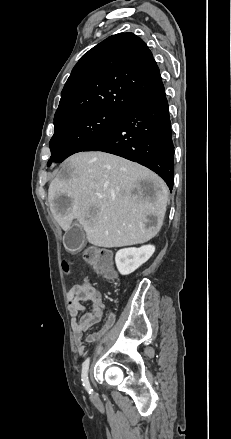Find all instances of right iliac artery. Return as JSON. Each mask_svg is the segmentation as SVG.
Here are the masks:
<instances>
[{
	"instance_id": "82829eb1",
	"label": "right iliac artery",
	"mask_w": 231,
	"mask_h": 439,
	"mask_svg": "<svg viewBox=\"0 0 231 439\" xmlns=\"http://www.w3.org/2000/svg\"><path fill=\"white\" fill-rule=\"evenodd\" d=\"M89 362H90L89 358H87L84 361V363L82 365L81 377H82L83 386L91 394L93 390L91 389V386H90V383H89V380H88Z\"/></svg>"
}]
</instances>
